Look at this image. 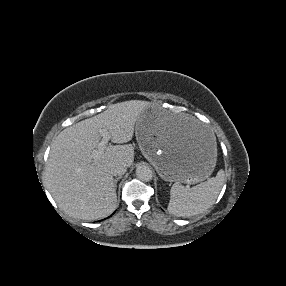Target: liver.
<instances>
[{
    "label": "liver",
    "instance_id": "obj_1",
    "mask_svg": "<svg viewBox=\"0 0 286 286\" xmlns=\"http://www.w3.org/2000/svg\"><path fill=\"white\" fill-rule=\"evenodd\" d=\"M149 105L139 100L110 105L104 112L67 127L54 139L46 164V184L64 212L95 220L115 210L117 195L110 167L117 162L127 167L133 164L134 147L126 143L132 140L137 119ZM165 115L184 136L208 135L190 116ZM100 129H106L118 145L107 146L94 160L91 153L100 142Z\"/></svg>",
    "mask_w": 286,
    "mask_h": 286
}]
</instances>
